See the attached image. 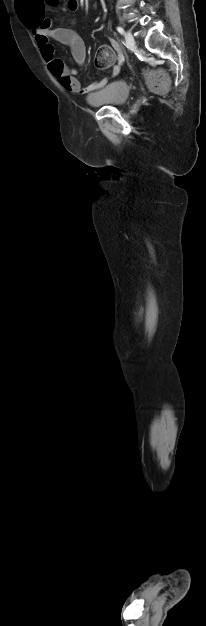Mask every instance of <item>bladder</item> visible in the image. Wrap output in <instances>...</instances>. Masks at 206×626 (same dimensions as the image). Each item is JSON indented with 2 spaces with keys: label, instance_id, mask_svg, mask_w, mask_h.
Returning <instances> with one entry per match:
<instances>
[{
  "label": "bladder",
  "instance_id": "obj_1",
  "mask_svg": "<svg viewBox=\"0 0 206 626\" xmlns=\"http://www.w3.org/2000/svg\"><path fill=\"white\" fill-rule=\"evenodd\" d=\"M129 95L130 86L125 81L115 80L88 95L87 102L93 107H119L127 102Z\"/></svg>",
  "mask_w": 206,
  "mask_h": 626
}]
</instances>
